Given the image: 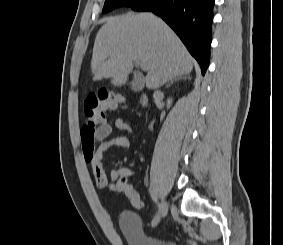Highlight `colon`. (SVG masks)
I'll use <instances>...</instances> for the list:
<instances>
[{
  "label": "colon",
  "instance_id": "obj_1",
  "mask_svg": "<svg viewBox=\"0 0 283 245\" xmlns=\"http://www.w3.org/2000/svg\"><path fill=\"white\" fill-rule=\"evenodd\" d=\"M84 105L86 123L99 125L105 121L107 111L124 108L126 102L122 97L111 95L106 91H100L97 94H90L85 99ZM117 191L124 194L134 208H143L144 202L141 195L128 183L127 179L120 178L118 180Z\"/></svg>",
  "mask_w": 283,
  "mask_h": 245
}]
</instances>
